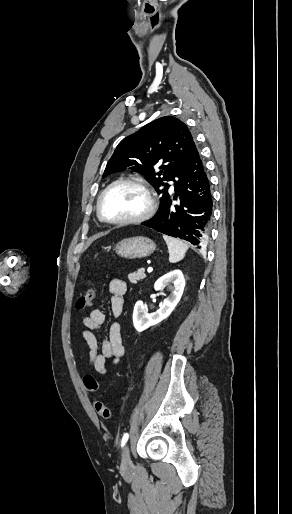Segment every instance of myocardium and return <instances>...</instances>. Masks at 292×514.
Instances as JSON below:
<instances>
[{"instance_id":"obj_1","label":"myocardium","mask_w":292,"mask_h":514,"mask_svg":"<svg viewBox=\"0 0 292 514\" xmlns=\"http://www.w3.org/2000/svg\"><path fill=\"white\" fill-rule=\"evenodd\" d=\"M120 185H132V186L139 188L145 195L146 207L143 212H141L140 214H138L136 216L130 217V218L121 219V220L107 219L102 214L103 198L111 189H113L114 187L120 186ZM154 208H155V201H154L151 191L147 187L146 183L142 179H138V178H124V179H119V180L112 182L101 192V194L99 195L98 200H97V215H98L99 219L105 223L113 224V225H120V226L135 224V223H139L141 221L146 220L147 218H149L152 215Z\"/></svg>"}]
</instances>
